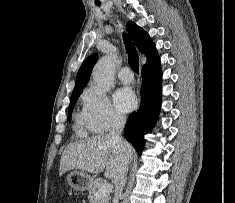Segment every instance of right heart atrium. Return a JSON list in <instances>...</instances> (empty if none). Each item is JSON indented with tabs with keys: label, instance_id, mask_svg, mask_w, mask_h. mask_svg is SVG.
<instances>
[{
	"label": "right heart atrium",
	"instance_id": "1",
	"mask_svg": "<svg viewBox=\"0 0 235 203\" xmlns=\"http://www.w3.org/2000/svg\"><path fill=\"white\" fill-rule=\"evenodd\" d=\"M82 101L83 113L93 132H107L122 124L125 119L124 115L112 105L108 96L92 86L84 91Z\"/></svg>",
	"mask_w": 235,
	"mask_h": 203
}]
</instances>
